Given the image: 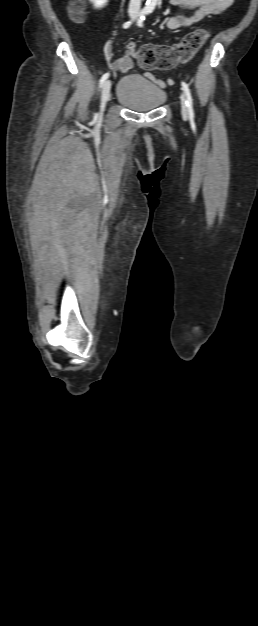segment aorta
<instances>
[{
	"mask_svg": "<svg viewBox=\"0 0 258 626\" xmlns=\"http://www.w3.org/2000/svg\"><path fill=\"white\" fill-rule=\"evenodd\" d=\"M158 0H147V7L153 9L156 4H157Z\"/></svg>",
	"mask_w": 258,
	"mask_h": 626,
	"instance_id": "aorta-1",
	"label": "aorta"
}]
</instances>
